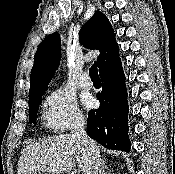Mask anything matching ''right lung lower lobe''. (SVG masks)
I'll return each instance as SVG.
<instances>
[{"mask_svg": "<svg viewBox=\"0 0 175 174\" xmlns=\"http://www.w3.org/2000/svg\"><path fill=\"white\" fill-rule=\"evenodd\" d=\"M100 76L102 89L97 98L101 105L88 113L87 134L108 149L129 151V108L119 56L100 71Z\"/></svg>", "mask_w": 175, "mask_h": 174, "instance_id": "98d812e1", "label": "right lung lower lobe"}]
</instances>
